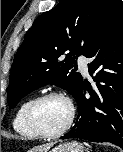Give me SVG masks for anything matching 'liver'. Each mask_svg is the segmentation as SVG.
Masks as SVG:
<instances>
[{
	"mask_svg": "<svg viewBox=\"0 0 123 152\" xmlns=\"http://www.w3.org/2000/svg\"><path fill=\"white\" fill-rule=\"evenodd\" d=\"M52 146H53L52 143L44 144L30 149L28 152H48Z\"/></svg>",
	"mask_w": 123,
	"mask_h": 152,
	"instance_id": "obj_1",
	"label": "liver"
}]
</instances>
